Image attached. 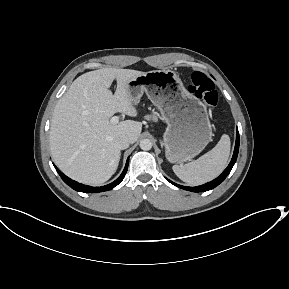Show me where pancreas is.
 <instances>
[{"label":"pancreas","instance_id":"cf45deb5","mask_svg":"<svg viewBox=\"0 0 289 289\" xmlns=\"http://www.w3.org/2000/svg\"><path fill=\"white\" fill-rule=\"evenodd\" d=\"M146 118H147L148 120L151 119V118H153L154 120H156V118H155L154 116H153V117L147 116Z\"/></svg>","mask_w":289,"mask_h":289}]
</instances>
